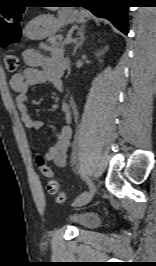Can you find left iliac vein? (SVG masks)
I'll list each match as a JSON object with an SVG mask.
<instances>
[{"label":"left iliac vein","mask_w":156,"mask_h":266,"mask_svg":"<svg viewBox=\"0 0 156 266\" xmlns=\"http://www.w3.org/2000/svg\"><path fill=\"white\" fill-rule=\"evenodd\" d=\"M93 186H95V184ZM95 192H96V186H95L94 190H91V189L89 190V192H88L86 197H84L83 199H81L78 202H74V206L81 207V206L86 205L88 202H90L92 200V198L95 195Z\"/></svg>","instance_id":"obj_1"}]
</instances>
